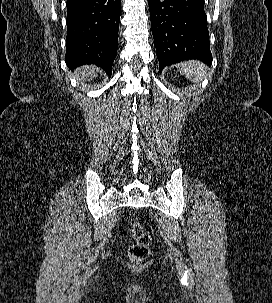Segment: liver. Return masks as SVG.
Returning a JSON list of instances; mask_svg holds the SVG:
<instances>
[{"mask_svg": "<svg viewBox=\"0 0 272 303\" xmlns=\"http://www.w3.org/2000/svg\"><path fill=\"white\" fill-rule=\"evenodd\" d=\"M99 69L93 65L82 66L75 70V76L79 80L92 79L97 76Z\"/></svg>", "mask_w": 272, "mask_h": 303, "instance_id": "6515ba94", "label": "liver"}]
</instances>
